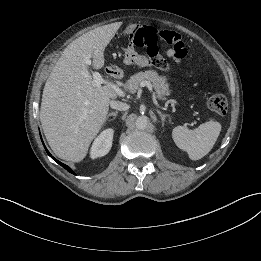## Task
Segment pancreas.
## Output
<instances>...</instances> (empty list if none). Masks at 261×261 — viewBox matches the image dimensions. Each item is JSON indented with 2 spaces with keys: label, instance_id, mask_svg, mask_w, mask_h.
<instances>
[{
  "label": "pancreas",
  "instance_id": "pancreas-1",
  "mask_svg": "<svg viewBox=\"0 0 261 261\" xmlns=\"http://www.w3.org/2000/svg\"><path fill=\"white\" fill-rule=\"evenodd\" d=\"M145 80L152 83L158 98L163 99L170 94L166 80L153 70L139 72L131 76L126 82V88L130 93H135L139 89L140 83Z\"/></svg>",
  "mask_w": 261,
  "mask_h": 261
}]
</instances>
